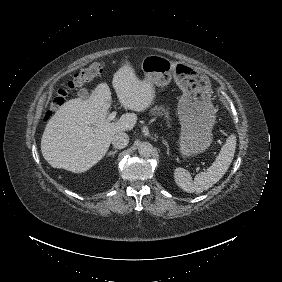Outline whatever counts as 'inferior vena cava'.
<instances>
[{
  "mask_svg": "<svg viewBox=\"0 0 282 282\" xmlns=\"http://www.w3.org/2000/svg\"><path fill=\"white\" fill-rule=\"evenodd\" d=\"M129 142L128 134L125 132H119L113 135L112 143L115 148L121 149L126 147Z\"/></svg>",
  "mask_w": 282,
  "mask_h": 282,
  "instance_id": "inferior-vena-cava-1",
  "label": "inferior vena cava"
}]
</instances>
